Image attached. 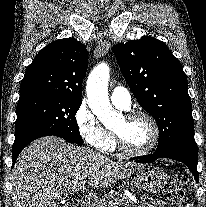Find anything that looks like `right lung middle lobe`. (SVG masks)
Masks as SVG:
<instances>
[{
  "label": "right lung middle lobe",
  "mask_w": 206,
  "mask_h": 207,
  "mask_svg": "<svg viewBox=\"0 0 206 207\" xmlns=\"http://www.w3.org/2000/svg\"><path fill=\"white\" fill-rule=\"evenodd\" d=\"M81 103V99L50 95L19 100L12 150L47 135H56L73 143H83L75 118Z\"/></svg>",
  "instance_id": "right-lung-middle-lobe-1"
}]
</instances>
